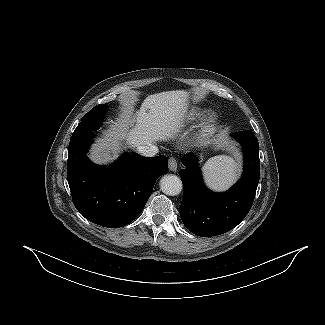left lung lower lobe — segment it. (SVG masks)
Returning a JSON list of instances; mask_svg holds the SVG:
<instances>
[{
    "label": "left lung lower lobe",
    "mask_w": 325,
    "mask_h": 325,
    "mask_svg": "<svg viewBox=\"0 0 325 325\" xmlns=\"http://www.w3.org/2000/svg\"><path fill=\"white\" fill-rule=\"evenodd\" d=\"M244 150V172L240 181L224 193L208 190L193 154L182 158L180 171L183 200L180 216L188 230L202 237L223 234L237 226L248 214L256 194L259 176V143L252 131L232 134Z\"/></svg>",
    "instance_id": "left-lung-lower-lobe-1"
}]
</instances>
